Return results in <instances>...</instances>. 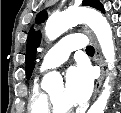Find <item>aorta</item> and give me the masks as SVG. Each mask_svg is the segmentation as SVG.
Listing matches in <instances>:
<instances>
[{
	"mask_svg": "<svg viewBox=\"0 0 121 113\" xmlns=\"http://www.w3.org/2000/svg\"><path fill=\"white\" fill-rule=\"evenodd\" d=\"M85 23L97 36L102 53L108 63L109 69L114 67L115 50L112 38V30L107 19L98 11L89 8L69 9L61 13L52 14L45 27V34L49 40L58 38L65 31L77 24ZM60 76L51 72L44 76L42 85L45 89L54 84ZM107 77L104 90L99 98L90 107L88 113H103L110 96L111 86Z\"/></svg>",
	"mask_w": 121,
	"mask_h": 113,
	"instance_id": "aorta-1",
	"label": "aorta"
}]
</instances>
